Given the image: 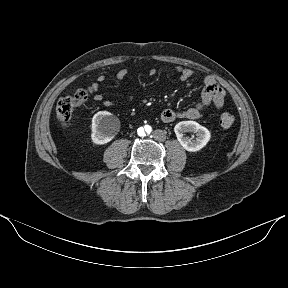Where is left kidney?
I'll return each mask as SVG.
<instances>
[{"mask_svg": "<svg viewBox=\"0 0 288 288\" xmlns=\"http://www.w3.org/2000/svg\"><path fill=\"white\" fill-rule=\"evenodd\" d=\"M174 132L180 145L189 152L202 149L210 140L209 130L195 121H182L175 125ZM186 132L195 133L196 138L190 139L184 136Z\"/></svg>", "mask_w": 288, "mask_h": 288, "instance_id": "left-kidney-1", "label": "left kidney"}]
</instances>
